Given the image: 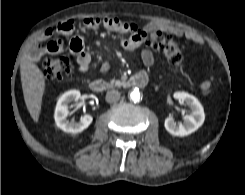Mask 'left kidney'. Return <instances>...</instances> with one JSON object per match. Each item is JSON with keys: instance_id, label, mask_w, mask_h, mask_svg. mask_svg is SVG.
I'll return each mask as SVG.
<instances>
[{"instance_id": "obj_1", "label": "left kidney", "mask_w": 245, "mask_h": 195, "mask_svg": "<svg viewBox=\"0 0 245 195\" xmlns=\"http://www.w3.org/2000/svg\"><path fill=\"white\" fill-rule=\"evenodd\" d=\"M174 98L182 101L191 110V115L183 117V124H178L172 117L165 119V129L174 136L184 137L195 132L205 120L203 106L196 97L185 92L174 93Z\"/></svg>"}]
</instances>
